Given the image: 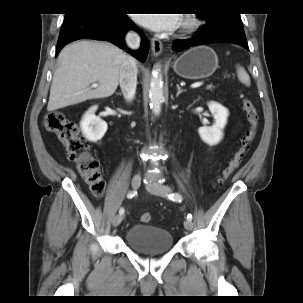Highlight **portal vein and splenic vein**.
<instances>
[{
  "label": "portal vein and splenic vein",
  "instance_id": "18ae733b",
  "mask_svg": "<svg viewBox=\"0 0 303 303\" xmlns=\"http://www.w3.org/2000/svg\"><path fill=\"white\" fill-rule=\"evenodd\" d=\"M203 83L202 82H197L191 85V88H198L200 86H202ZM92 87H98V84H92Z\"/></svg>",
  "mask_w": 303,
  "mask_h": 303
}]
</instances>
